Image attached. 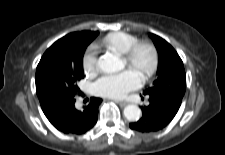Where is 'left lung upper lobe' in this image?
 <instances>
[{
    "instance_id": "1",
    "label": "left lung upper lobe",
    "mask_w": 225,
    "mask_h": 155,
    "mask_svg": "<svg viewBox=\"0 0 225 155\" xmlns=\"http://www.w3.org/2000/svg\"><path fill=\"white\" fill-rule=\"evenodd\" d=\"M158 54L159 64L153 86L144 91L148 96H184L186 90V74L183 62L175 49L161 37L150 34Z\"/></svg>"
}]
</instances>
